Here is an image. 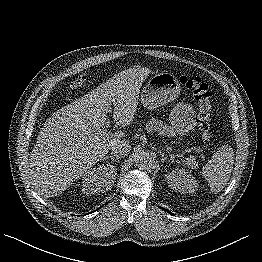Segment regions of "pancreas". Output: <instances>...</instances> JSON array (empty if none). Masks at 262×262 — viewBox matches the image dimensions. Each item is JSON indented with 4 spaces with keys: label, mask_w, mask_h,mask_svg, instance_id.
I'll return each mask as SVG.
<instances>
[{
    "label": "pancreas",
    "mask_w": 262,
    "mask_h": 262,
    "mask_svg": "<svg viewBox=\"0 0 262 262\" xmlns=\"http://www.w3.org/2000/svg\"><path fill=\"white\" fill-rule=\"evenodd\" d=\"M145 129H146L147 132L159 131V132L166 133V134H170V133L174 132L173 128H171L167 124L163 123V121L158 120L157 118H151L150 120H148V122L146 123ZM190 159H193V158H190ZM190 159L188 161H190ZM193 161H194V159H193ZM193 165H196V162H195V164H192V166Z\"/></svg>",
    "instance_id": "1"
}]
</instances>
